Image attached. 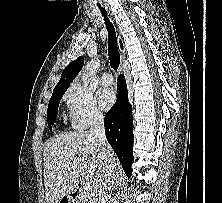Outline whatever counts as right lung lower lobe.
I'll return each mask as SVG.
<instances>
[{
	"label": "right lung lower lobe",
	"instance_id": "right-lung-lower-lobe-1",
	"mask_svg": "<svg viewBox=\"0 0 222 203\" xmlns=\"http://www.w3.org/2000/svg\"><path fill=\"white\" fill-rule=\"evenodd\" d=\"M118 97L114 106L105 115L106 138L118 156L125 173L130 177L133 163V123L132 106L124 76L118 79Z\"/></svg>",
	"mask_w": 222,
	"mask_h": 203
}]
</instances>
